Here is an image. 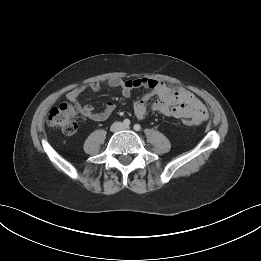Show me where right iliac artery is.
<instances>
[{
    "instance_id": "obj_1",
    "label": "right iliac artery",
    "mask_w": 261,
    "mask_h": 261,
    "mask_svg": "<svg viewBox=\"0 0 261 261\" xmlns=\"http://www.w3.org/2000/svg\"><path fill=\"white\" fill-rule=\"evenodd\" d=\"M123 124H124L125 126H129V125H130V120H129V119H125V120L123 121Z\"/></svg>"
}]
</instances>
